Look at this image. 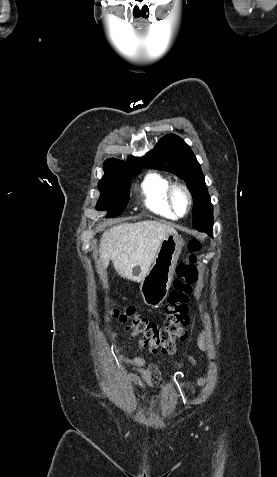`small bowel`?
Listing matches in <instances>:
<instances>
[{
  "label": "small bowel",
  "instance_id": "1",
  "mask_svg": "<svg viewBox=\"0 0 277 477\" xmlns=\"http://www.w3.org/2000/svg\"><path fill=\"white\" fill-rule=\"evenodd\" d=\"M117 332H113L111 340L115 339ZM206 331H202L197 338V346L200 350L206 351ZM188 360L192 365H196V360L187 355ZM120 359L129 365L130 372L127 376L128 380L138 386L142 390L153 388L162 383L160 371L153 364H146V361L141 357L128 358L124 354H120ZM174 366L181 367L182 364L178 362H171Z\"/></svg>",
  "mask_w": 277,
  "mask_h": 477
}]
</instances>
